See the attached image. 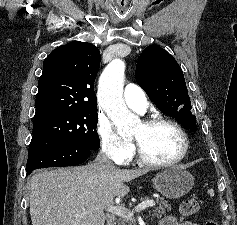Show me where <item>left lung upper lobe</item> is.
Returning <instances> with one entry per match:
<instances>
[{
  "instance_id": "5c2ea615",
  "label": "left lung upper lobe",
  "mask_w": 237,
  "mask_h": 225,
  "mask_svg": "<svg viewBox=\"0 0 237 225\" xmlns=\"http://www.w3.org/2000/svg\"><path fill=\"white\" fill-rule=\"evenodd\" d=\"M136 81L164 113L175 117L185 129H194L185 79L177 61L164 49L148 46L139 57Z\"/></svg>"
}]
</instances>
